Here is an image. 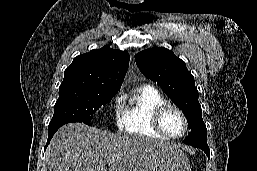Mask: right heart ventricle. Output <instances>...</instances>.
<instances>
[{"instance_id": "right-heart-ventricle-1", "label": "right heart ventricle", "mask_w": 257, "mask_h": 171, "mask_svg": "<svg viewBox=\"0 0 257 171\" xmlns=\"http://www.w3.org/2000/svg\"><path fill=\"white\" fill-rule=\"evenodd\" d=\"M167 102L153 86L144 85L138 88L128 103L123 106L119 129L132 135L167 139L152 125L154 111Z\"/></svg>"}]
</instances>
